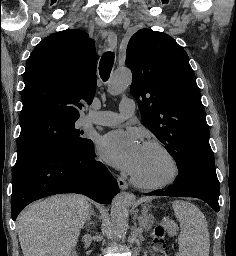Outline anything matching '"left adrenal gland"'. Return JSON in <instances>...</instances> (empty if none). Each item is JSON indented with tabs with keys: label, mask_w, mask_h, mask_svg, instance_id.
Segmentation results:
<instances>
[{
	"label": "left adrenal gland",
	"mask_w": 236,
	"mask_h": 256,
	"mask_svg": "<svg viewBox=\"0 0 236 256\" xmlns=\"http://www.w3.org/2000/svg\"><path fill=\"white\" fill-rule=\"evenodd\" d=\"M154 216L148 214L147 208L141 210V216L138 218L140 228H145V230H150L149 224H153Z\"/></svg>",
	"instance_id": "left-adrenal-gland-1"
}]
</instances>
